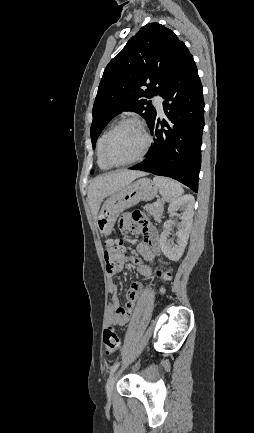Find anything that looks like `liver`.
Returning <instances> with one entry per match:
<instances>
[{
	"label": "liver",
	"mask_w": 254,
	"mask_h": 433,
	"mask_svg": "<svg viewBox=\"0 0 254 433\" xmlns=\"http://www.w3.org/2000/svg\"><path fill=\"white\" fill-rule=\"evenodd\" d=\"M141 171L119 170L95 177L88 188L87 200L94 218H97L104 198L127 186L136 178L144 176Z\"/></svg>",
	"instance_id": "6515ba94"
}]
</instances>
